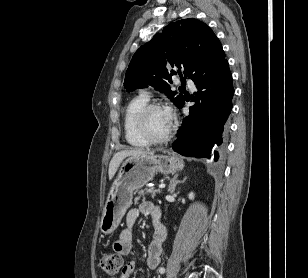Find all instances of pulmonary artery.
<instances>
[{
	"mask_svg": "<svg viewBox=\"0 0 308 278\" xmlns=\"http://www.w3.org/2000/svg\"><path fill=\"white\" fill-rule=\"evenodd\" d=\"M186 83H187L188 87H189L192 91L195 90V84H194V82H193L192 80H187ZM142 95H143L144 97H146L147 99H149V97H150V95H149V93H148L147 91H143V92H142Z\"/></svg>",
	"mask_w": 308,
	"mask_h": 278,
	"instance_id": "1",
	"label": "pulmonary artery"
}]
</instances>
